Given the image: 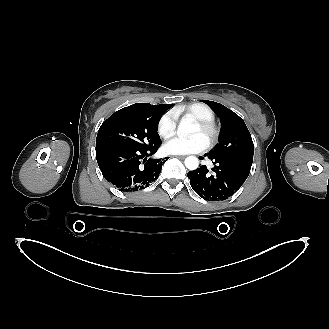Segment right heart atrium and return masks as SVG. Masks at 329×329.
Here are the masks:
<instances>
[{"mask_svg": "<svg viewBox=\"0 0 329 329\" xmlns=\"http://www.w3.org/2000/svg\"><path fill=\"white\" fill-rule=\"evenodd\" d=\"M177 116L174 111H167L158 120L157 132L164 138L172 137L176 132Z\"/></svg>", "mask_w": 329, "mask_h": 329, "instance_id": "1", "label": "right heart atrium"}]
</instances>
